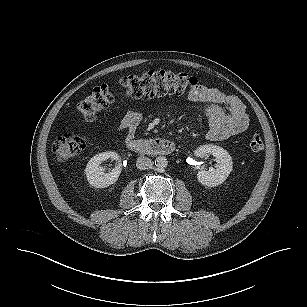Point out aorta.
I'll use <instances>...</instances> for the list:
<instances>
[{
	"mask_svg": "<svg viewBox=\"0 0 307 307\" xmlns=\"http://www.w3.org/2000/svg\"><path fill=\"white\" fill-rule=\"evenodd\" d=\"M168 161L164 156H159L155 159V166L159 169L167 167Z\"/></svg>",
	"mask_w": 307,
	"mask_h": 307,
	"instance_id": "762f6f07",
	"label": "aorta"
}]
</instances>
